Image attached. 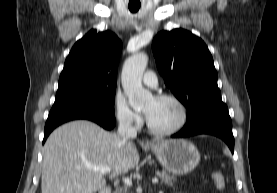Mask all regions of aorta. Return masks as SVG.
Wrapping results in <instances>:
<instances>
[{"mask_svg": "<svg viewBox=\"0 0 277 193\" xmlns=\"http://www.w3.org/2000/svg\"><path fill=\"white\" fill-rule=\"evenodd\" d=\"M147 63V54L139 52L129 57L122 68V87L133 108L140 107L152 98V94L142 86V76Z\"/></svg>", "mask_w": 277, "mask_h": 193, "instance_id": "aorta-1", "label": "aorta"}]
</instances>
